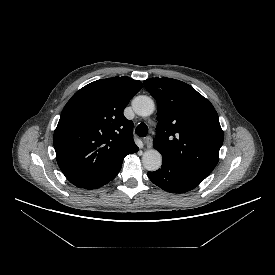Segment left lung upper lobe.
<instances>
[{
	"mask_svg": "<svg viewBox=\"0 0 275 275\" xmlns=\"http://www.w3.org/2000/svg\"><path fill=\"white\" fill-rule=\"evenodd\" d=\"M143 83L158 105L154 148L163 159L207 177L218 163L223 144L213 105L179 80L151 78Z\"/></svg>",
	"mask_w": 275,
	"mask_h": 275,
	"instance_id": "obj_1",
	"label": "left lung upper lobe"
}]
</instances>
